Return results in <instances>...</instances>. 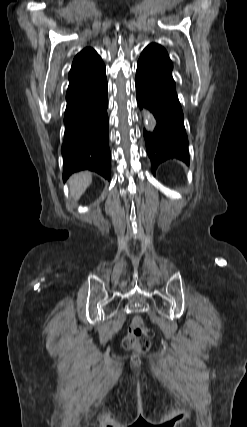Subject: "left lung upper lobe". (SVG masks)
Wrapping results in <instances>:
<instances>
[{
    "mask_svg": "<svg viewBox=\"0 0 247 427\" xmlns=\"http://www.w3.org/2000/svg\"><path fill=\"white\" fill-rule=\"evenodd\" d=\"M140 57H144L172 76L173 64L166 50L156 43L148 45Z\"/></svg>",
    "mask_w": 247,
    "mask_h": 427,
    "instance_id": "obj_1",
    "label": "left lung upper lobe"
}]
</instances>
